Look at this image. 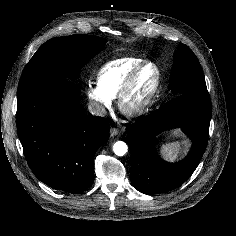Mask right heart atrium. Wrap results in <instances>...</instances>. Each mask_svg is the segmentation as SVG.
Masks as SVG:
<instances>
[{"label":"right heart atrium","instance_id":"obj_1","mask_svg":"<svg viewBox=\"0 0 236 236\" xmlns=\"http://www.w3.org/2000/svg\"><path fill=\"white\" fill-rule=\"evenodd\" d=\"M86 94L98 114H103L111 108L112 98L103 92L97 83H90L87 87Z\"/></svg>","mask_w":236,"mask_h":236}]
</instances>
